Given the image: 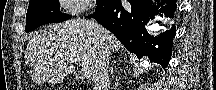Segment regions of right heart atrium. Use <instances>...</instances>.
<instances>
[{
  "mask_svg": "<svg viewBox=\"0 0 216 90\" xmlns=\"http://www.w3.org/2000/svg\"><path fill=\"white\" fill-rule=\"evenodd\" d=\"M69 6V12H84L91 5L90 0H75V2H66Z\"/></svg>",
  "mask_w": 216,
  "mask_h": 90,
  "instance_id": "1",
  "label": "right heart atrium"
}]
</instances>
